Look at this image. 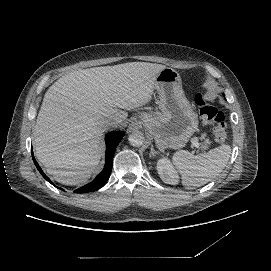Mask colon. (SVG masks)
Returning <instances> with one entry per match:
<instances>
[{
	"label": "colon",
	"instance_id": "obj_1",
	"mask_svg": "<svg viewBox=\"0 0 271 271\" xmlns=\"http://www.w3.org/2000/svg\"><path fill=\"white\" fill-rule=\"evenodd\" d=\"M195 102L202 121L213 126L215 140L218 143L225 142L227 138V124L223 113L207 101L201 93L195 96Z\"/></svg>",
	"mask_w": 271,
	"mask_h": 271
}]
</instances>
